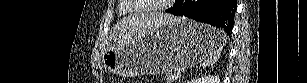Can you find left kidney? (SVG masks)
I'll return each mask as SVG.
<instances>
[{
	"mask_svg": "<svg viewBox=\"0 0 307 83\" xmlns=\"http://www.w3.org/2000/svg\"><path fill=\"white\" fill-rule=\"evenodd\" d=\"M188 83H220V78L218 76H202L200 78H195Z\"/></svg>",
	"mask_w": 307,
	"mask_h": 83,
	"instance_id": "obj_1",
	"label": "left kidney"
}]
</instances>
